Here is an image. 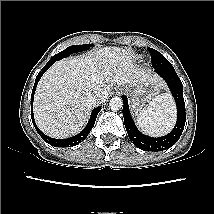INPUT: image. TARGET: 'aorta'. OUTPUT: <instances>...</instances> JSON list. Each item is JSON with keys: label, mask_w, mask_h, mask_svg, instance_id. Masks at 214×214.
I'll use <instances>...</instances> for the list:
<instances>
[{"label": "aorta", "mask_w": 214, "mask_h": 214, "mask_svg": "<svg viewBox=\"0 0 214 214\" xmlns=\"http://www.w3.org/2000/svg\"><path fill=\"white\" fill-rule=\"evenodd\" d=\"M112 110L117 111L123 107V101L120 97H113L109 103Z\"/></svg>", "instance_id": "aorta-1"}]
</instances>
